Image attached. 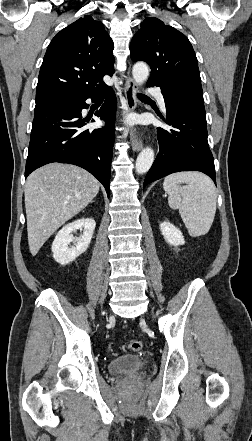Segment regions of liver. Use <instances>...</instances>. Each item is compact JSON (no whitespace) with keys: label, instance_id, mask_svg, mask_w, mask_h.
I'll return each mask as SVG.
<instances>
[{"label":"liver","instance_id":"6515ba94","mask_svg":"<svg viewBox=\"0 0 252 441\" xmlns=\"http://www.w3.org/2000/svg\"><path fill=\"white\" fill-rule=\"evenodd\" d=\"M24 192L28 245L35 256L59 227L92 202L99 182L78 166L51 163L28 176Z\"/></svg>","mask_w":252,"mask_h":441}]
</instances>
